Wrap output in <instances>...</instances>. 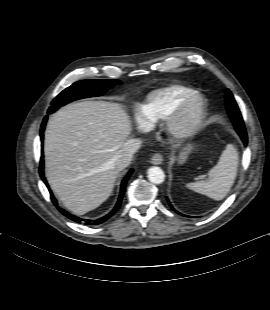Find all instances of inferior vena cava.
<instances>
[{
	"mask_svg": "<svg viewBox=\"0 0 270 310\" xmlns=\"http://www.w3.org/2000/svg\"><path fill=\"white\" fill-rule=\"evenodd\" d=\"M141 147V141L131 139L127 141L122 149H120L113 157L112 161L115 167L120 171L126 168L132 161L133 155Z\"/></svg>",
	"mask_w": 270,
	"mask_h": 310,
	"instance_id": "inferior-vena-cava-1",
	"label": "inferior vena cava"
}]
</instances>
